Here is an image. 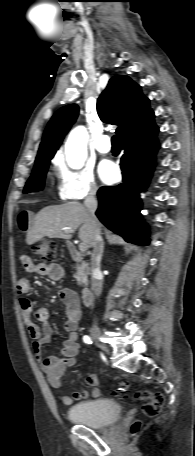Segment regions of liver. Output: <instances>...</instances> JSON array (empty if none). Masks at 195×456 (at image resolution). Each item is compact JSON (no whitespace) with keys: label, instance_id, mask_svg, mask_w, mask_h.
Segmentation results:
<instances>
[{"label":"liver","instance_id":"6515ba94","mask_svg":"<svg viewBox=\"0 0 195 456\" xmlns=\"http://www.w3.org/2000/svg\"><path fill=\"white\" fill-rule=\"evenodd\" d=\"M79 229V238L88 248L93 247L94 229L89 213L79 202H68L61 205L47 206L41 209L29 226L26 242L32 245L44 237L69 240L71 232L65 228Z\"/></svg>","mask_w":195,"mask_h":456}]
</instances>
